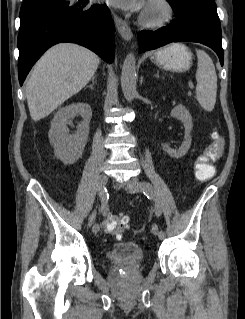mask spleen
<instances>
[{
    "mask_svg": "<svg viewBox=\"0 0 245 319\" xmlns=\"http://www.w3.org/2000/svg\"><path fill=\"white\" fill-rule=\"evenodd\" d=\"M198 64L196 71V98L206 111H212L216 103L217 75L210 56L203 50L196 49Z\"/></svg>",
    "mask_w": 245,
    "mask_h": 319,
    "instance_id": "spleen-1",
    "label": "spleen"
}]
</instances>
